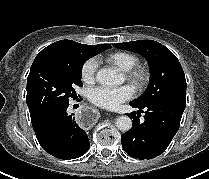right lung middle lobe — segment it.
I'll use <instances>...</instances> for the list:
<instances>
[{
	"mask_svg": "<svg viewBox=\"0 0 209 179\" xmlns=\"http://www.w3.org/2000/svg\"><path fill=\"white\" fill-rule=\"evenodd\" d=\"M110 47L106 44L99 49L76 53L65 58L34 60L27 78L26 97L31 121L75 98L74 88L83 86L81 76L84 63Z\"/></svg>",
	"mask_w": 209,
	"mask_h": 179,
	"instance_id": "dd1d6c3e",
	"label": "right lung middle lobe"
}]
</instances>
